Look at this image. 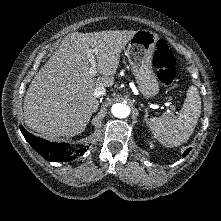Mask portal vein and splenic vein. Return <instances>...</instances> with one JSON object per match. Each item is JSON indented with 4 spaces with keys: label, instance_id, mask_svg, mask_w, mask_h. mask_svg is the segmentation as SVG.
Here are the masks:
<instances>
[{
    "label": "portal vein and splenic vein",
    "instance_id": "obj_1",
    "mask_svg": "<svg viewBox=\"0 0 221 221\" xmlns=\"http://www.w3.org/2000/svg\"><path fill=\"white\" fill-rule=\"evenodd\" d=\"M94 53V50H89L88 53H87V57H88V60L91 64V67H90V70H89V73L90 75L94 76L96 73H97V63H96V59H95V56L93 55Z\"/></svg>",
    "mask_w": 221,
    "mask_h": 221
}]
</instances>
